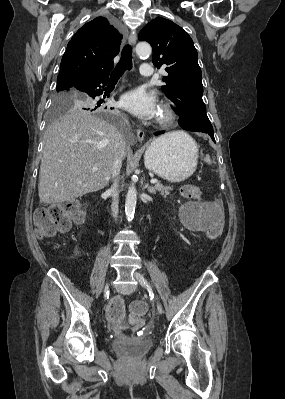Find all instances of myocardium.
<instances>
[{"mask_svg": "<svg viewBox=\"0 0 285 399\" xmlns=\"http://www.w3.org/2000/svg\"><path fill=\"white\" fill-rule=\"evenodd\" d=\"M176 112L173 106L168 102H162L159 106V113L156 118V123L159 126H169L174 122Z\"/></svg>", "mask_w": 285, "mask_h": 399, "instance_id": "1", "label": "myocardium"}]
</instances>
